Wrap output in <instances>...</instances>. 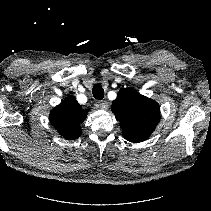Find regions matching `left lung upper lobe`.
Returning <instances> with one entry per match:
<instances>
[{"mask_svg":"<svg viewBox=\"0 0 211 211\" xmlns=\"http://www.w3.org/2000/svg\"><path fill=\"white\" fill-rule=\"evenodd\" d=\"M111 110L120 122L124 138L134 143L146 140L160 119L159 105L131 89L118 92Z\"/></svg>","mask_w":211,"mask_h":211,"instance_id":"left-lung-upper-lobe-1","label":"left lung upper lobe"}]
</instances>
